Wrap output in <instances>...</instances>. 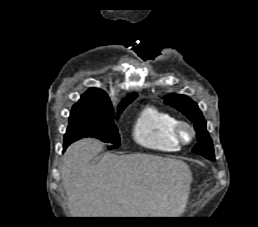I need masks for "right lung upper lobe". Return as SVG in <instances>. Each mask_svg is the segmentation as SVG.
I'll list each match as a JSON object with an SVG mask.
<instances>
[{"label":"right lung upper lobe","mask_w":258,"mask_h":227,"mask_svg":"<svg viewBox=\"0 0 258 227\" xmlns=\"http://www.w3.org/2000/svg\"><path fill=\"white\" fill-rule=\"evenodd\" d=\"M137 96L136 93L130 94L122 101V104L132 101ZM119 105V106H120ZM74 107H87V108H112V103L105 91L97 88H90L84 93L78 103Z\"/></svg>","instance_id":"1"}]
</instances>
